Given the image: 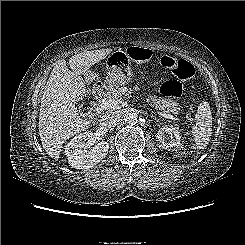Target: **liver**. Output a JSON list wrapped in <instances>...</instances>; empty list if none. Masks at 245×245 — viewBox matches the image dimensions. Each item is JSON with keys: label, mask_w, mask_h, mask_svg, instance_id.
<instances>
[{"label": "liver", "mask_w": 245, "mask_h": 245, "mask_svg": "<svg viewBox=\"0 0 245 245\" xmlns=\"http://www.w3.org/2000/svg\"><path fill=\"white\" fill-rule=\"evenodd\" d=\"M111 48L84 51L69 59L70 71L65 59L58 60L46 83L39 110V135L46 153L58 160L63 143L86 130L91 120L82 119L76 102L88 94L82 74L105 59Z\"/></svg>", "instance_id": "6515ba94"}]
</instances>
